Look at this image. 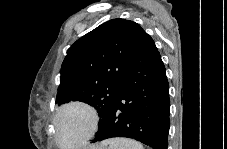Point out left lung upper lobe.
Wrapping results in <instances>:
<instances>
[{"mask_svg": "<svg viewBox=\"0 0 227 149\" xmlns=\"http://www.w3.org/2000/svg\"><path fill=\"white\" fill-rule=\"evenodd\" d=\"M143 32L137 23L117 18L78 39L61 66L56 103L85 102L103 119L121 90Z\"/></svg>", "mask_w": 227, "mask_h": 149, "instance_id": "5c2ea615", "label": "left lung upper lobe"}]
</instances>
